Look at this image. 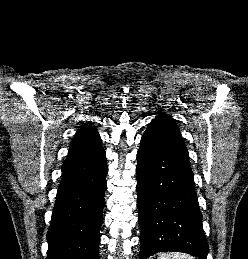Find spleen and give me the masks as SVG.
Here are the masks:
<instances>
[{"instance_id":"3e777b00","label":"spleen","mask_w":248,"mask_h":259,"mask_svg":"<svg viewBox=\"0 0 248 259\" xmlns=\"http://www.w3.org/2000/svg\"><path fill=\"white\" fill-rule=\"evenodd\" d=\"M157 259H195V258L185 253L169 252V253L161 254Z\"/></svg>"}]
</instances>
